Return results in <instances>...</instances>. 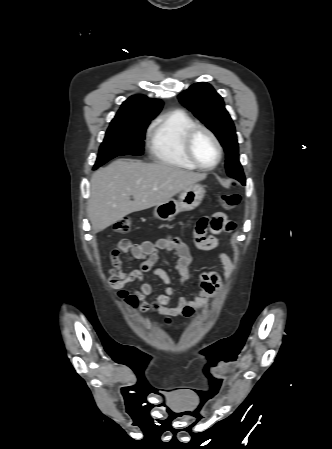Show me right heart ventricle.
I'll list each match as a JSON object with an SVG mask.
<instances>
[{"label":"right heart ventricle","instance_id":"1","mask_svg":"<svg viewBox=\"0 0 332 449\" xmlns=\"http://www.w3.org/2000/svg\"><path fill=\"white\" fill-rule=\"evenodd\" d=\"M195 124L194 119L184 110L162 115L150 133L149 149L154 159L170 166L195 169L183 150L184 135Z\"/></svg>","mask_w":332,"mask_h":449}]
</instances>
